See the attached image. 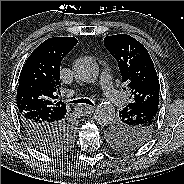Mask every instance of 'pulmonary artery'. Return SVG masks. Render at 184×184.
Returning a JSON list of instances; mask_svg holds the SVG:
<instances>
[{
	"label": "pulmonary artery",
	"mask_w": 184,
	"mask_h": 184,
	"mask_svg": "<svg viewBox=\"0 0 184 184\" xmlns=\"http://www.w3.org/2000/svg\"><path fill=\"white\" fill-rule=\"evenodd\" d=\"M100 84L106 98L114 105L122 106L125 103L123 94L118 92L112 83L111 75L108 71H103L100 75ZM73 93L70 92V95Z\"/></svg>",
	"instance_id": "pulmonary-artery-1"
}]
</instances>
